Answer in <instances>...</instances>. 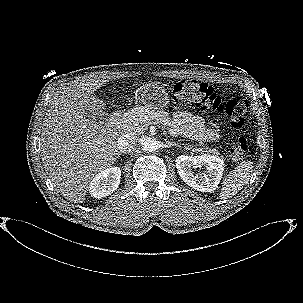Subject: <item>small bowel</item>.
Here are the masks:
<instances>
[{
  "label": "small bowel",
  "mask_w": 303,
  "mask_h": 303,
  "mask_svg": "<svg viewBox=\"0 0 303 303\" xmlns=\"http://www.w3.org/2000/svg\"><path fill=\"white\" fill-rule=\"evenodd\" d=\"M174 129L183 136L193 140L214 141L220 136L219 130L205 127L200 116L187 111H179L176 113Z\"/></svg>",
  "instance_id": "c3829d8e"
}]
</instances>
